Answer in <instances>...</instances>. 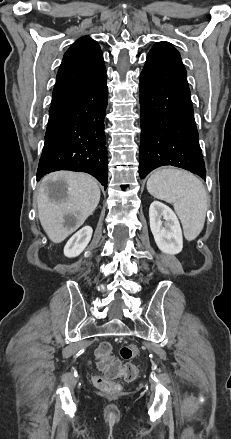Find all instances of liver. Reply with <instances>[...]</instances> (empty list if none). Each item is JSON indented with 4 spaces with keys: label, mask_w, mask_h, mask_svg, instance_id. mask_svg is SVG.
Listing matches in <instances>:
<instances>
[{
    "label": "liver",
    "mask_w": 231,
    "mask_h": 439,
    "mask_svg": "<svg viewBox=\"0 0 231 439\" xmlns=\"http://www.w3.org/2000/svg\"><path fill=\"white\" fill-rule=\"evenodd\" d=\"M63 182V189L57 193L52 183ZM100 189L95 178L84 173L57 171L46 175L38 188L37 206L41 225L54 243L64 241L79 228L97 207ZM72 214L75 224L68 227L64 216Z\"/></svg>",
    "instance_id": "obj_1"
}]
</instances>
